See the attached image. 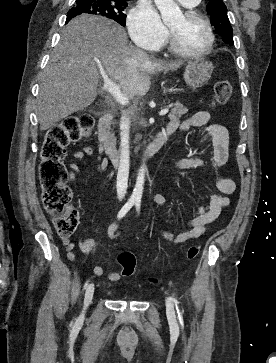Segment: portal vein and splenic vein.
<instances>
[{
    "mask_svg": "<svg viewBox=\"0 0 276 363\" xmlns=\"http://www.w3.org/2000/svg\"><path fill=\"white\" fill-rule=\"evenodd\" d=\"M104 84L102 89L108 91L115 100L123 106L128 105V99L122 94L118 84L113 82L107 75H103ZM169 112V108H164L160 111V115L164 116Z\"/></svg>",
    "mask_w": 276,
    "mask_h": 363,
    "instance_id": "1",
    "label": "portal vein and splenic vein"
}]
</instances>
